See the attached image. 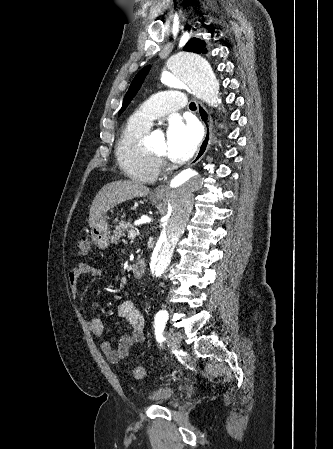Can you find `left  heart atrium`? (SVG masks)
<instances>
[{
    "label": "left heart atrium",
    "mask_w": 333,
    "mask_h": 449,
    "mask_svg": "<svg viewBox=\"0 0 333 449\" xmlns=\"http://www.w3.org/2000/svg\"><path fill=\"white\" fill-rule=\"evenodd\" d=\"M199 141L200 133L195 124L173 119L166 132L167 156L174 162H184L194 154Z\"/></svg>",
    "instance_id": "left-heart-atrium-1"
}]
</instances>
